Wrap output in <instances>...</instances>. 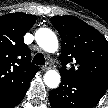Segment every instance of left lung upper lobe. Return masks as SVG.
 <instances>
[{"instance_id":"5c2ea615","label":"left lung upper lobe","mask_w":108,"mask_h":108,"mask_svg":"<svg viewBox=\"0 0 108 108\" xmlns=\"http://www.w3.org/2000/svg\"><path fill=\"white\" fill-rule=\"evenodd\" d=\"M51 22L62 39L60 75L108 84V41L104 36L74 16L52 17Z\"/></svg>"}]
</instances>
